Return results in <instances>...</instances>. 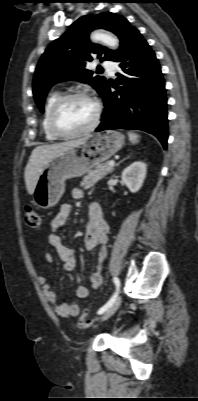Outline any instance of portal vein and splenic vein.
Instances as JSON below:
<instances>
[{"mask_svg":"<svg viewBox=\"0 0 198 401\" xmlns=\"http://www.w3.org/2000/svg\"><path fill=\"white\" fill-rule=\"evenodd\" d=\"M114 165H115V162L113 160L109 162V166H114Z\"/></svg>","mask_w":198,"mask_h":401,"instance_id":"1","label":"portal vein and splenic vein"}]
</instances>
